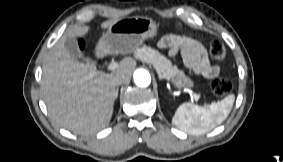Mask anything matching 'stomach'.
<instances>
[{"label": "stomach", "instance_id": "1", "mask_svg": "<svg viewBox=\"0 0 283 162\" xmlns=\"http://www.w3.org/2000/svg\"><path fill=\"white\" fill-rule=\"evenodd\" d=\"M159 25L150 17H129L118 19L102 36L97 48H109L108 52L129 53L142 45L148 38H154ZM178 89L193 87V81L182 74L171 79Z\"/></svg>", "mask_w": 283, "mask_h": 162}]
</instances>
